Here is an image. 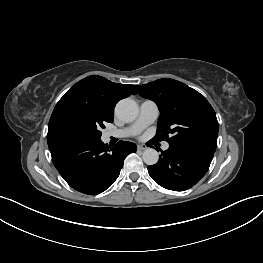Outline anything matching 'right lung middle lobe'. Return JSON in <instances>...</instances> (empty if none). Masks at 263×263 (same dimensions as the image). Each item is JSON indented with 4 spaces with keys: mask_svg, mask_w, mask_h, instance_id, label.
I'll list each match as a JSON object with an SVG mask.
<instances>
[{
    "mask_svg": "<svg viewBox=\"0 0 263 263\" xmlns=\"http://www.w3.org/2000/svg\"><path fill=\"white\" fill-rule=\"evenodd\" d=\"M106 122H113V118L97 109L72 104L57 116L54 135L61 144L96 141L101 139L100 130Z\"/></svg>",
    "mask_w": 263,
    "mask_h": 263,
    "instance_id": "obj_1",
    "label": "right lung middle lobe"
}]
</instances>
